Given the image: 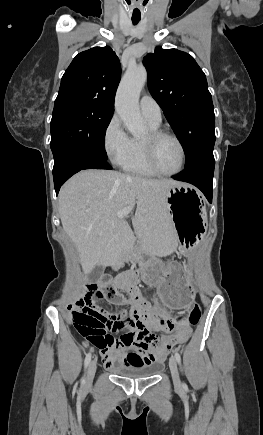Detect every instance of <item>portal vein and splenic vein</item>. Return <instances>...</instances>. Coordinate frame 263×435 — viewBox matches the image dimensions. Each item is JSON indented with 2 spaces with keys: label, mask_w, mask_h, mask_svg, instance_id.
Returning a JSON list of instances; mask_svg holds the SVG:
<instances>
[{
  "label": "portal vein and splenic vein",
  "mask_w": 263,
  "mask_h": 435,
  "mask_svg": "<svg viewBox=\"0 0 263 435\" xmlns=\"http://www.w3.org/2000/svg\"><path fill=\"white\" fill-rule=\"evenodd\" d=\"M131 211V208L128 207L126 209H124L123 211L118 212L117 217L118 218H124L125 216H127Z\"/></svg>",
  "instance_id": "1"
}]
</instances>
